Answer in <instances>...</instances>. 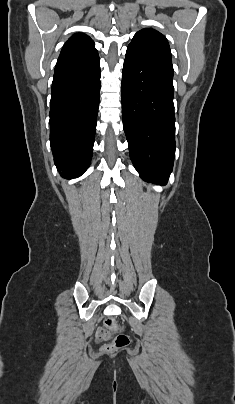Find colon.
<instances>
[{
	"mask_svg": "<svg viewBox=\"0 0 235 404\" xmlns=\"http://www.w3.org/2000/svg\"><path fill=\"white\" fill-rule=\"evenodd\" d=\"M105 327L107 330H100L97 333V339L102 342L108 341L110 339V333L118 331L121 325L114 318L108 317L105 320ZM129 342V336L121 333L116 335L109 343L105 344V350L108 352L116 351L128 346Z\"/></svg>",
	"mask_w": 235,
	"mask_h": 404,
	"instance_id": "obj_1",
	"label": "colon"
}]
</instances>
